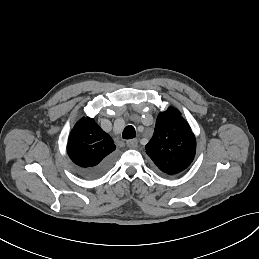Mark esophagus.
<instances>
[{"label": "esophagus", "mask_w": 259, "mask_h": 259, "mask_svg": "<svg viewBox=\"0 0 259 259\" xmlns=\"http://www.w3.org/2000/svg\"><path fill=\"white\" fill-rule=\"evenodd\" d=\"M127 146L129 148L135 149L138 146V142L136 139L129 140V141H127Z\"/></svg>", "instance_id": "obj_1"}]
</instances>
